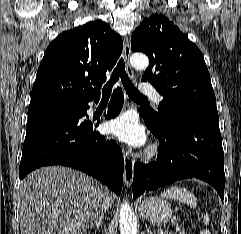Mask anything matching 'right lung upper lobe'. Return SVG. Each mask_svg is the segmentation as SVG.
Masks as SVG:
<instances>
[{
	"label": "right lung upper lobe",
	"instance_id": "cb5924a9",
	"mask_svg": "<svg viewBox=\"0 0 241 234\" xmlns=\"http://www.w3.org/2000/svg\"><path fill=\"white\" fill-rule=\"evenodd\" d=\"M121 53V36L101 20L64 31L44 53L30 105L84 104L99 98L106 71L113 68Z\"/></svg>",
	"mask_w": 241,
	"mask_h": 234
}]
</instances>
